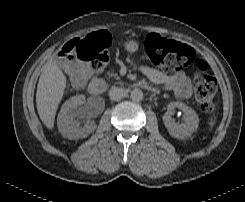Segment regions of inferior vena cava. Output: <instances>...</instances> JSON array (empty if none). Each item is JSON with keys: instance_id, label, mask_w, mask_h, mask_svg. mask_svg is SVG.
Segmentation results:
<instances>
[{"instance_id": "1", "label": "inferior vena cava", "mask_w": 245, "mask_h": 202, "mask_svg": "<svg viewBox=\"0 0 245 202\" xmlns=\"http://www.w3.org/2000/svg\"><path fill=\"white\" fill-rule=\"evenodd\" d=\"M126 96V92L123 88L112 87L109 91V97L112 100L119 101Z\"/></svg>"}]
</instances>
